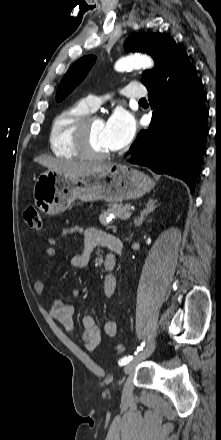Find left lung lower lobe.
I'll list each match as a JSON object with an SVG mask.
<instances>
[{
	"label": "left lung lower lobe",
	"mask_w": 221,
	"mask_h": 440,
	"mask_svg": "<svg viewBox=\"0 0 221 440\" xmlns=\"http://www.w3.org/2000/svg\"><path fill=\"white\" fill-rule=\"evenodd\" d=\"M146 87L152 121L130 147L129 161L180 178L193 192L208 134L202 81L180 49Z\"/></svg>",
	"instance_id": "1"
}]
</instances>
